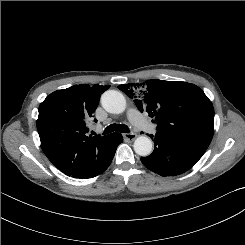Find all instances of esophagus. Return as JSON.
Returning <instances> with one entry per match:
<instances>
[{
	"label": "esophagus",
	"instance_id": "34e87169",
	"mask_svg": "<svg viewBox=\"0 0 245 245\" xmlns=\"http://www.w3.org/2000/svg\"><path fill=\"white\" fill-rule=\"evenodd\" d=\"M123 136L125 139L131 140V141L135 140V138L137 137L135 133H125Z\"/></svg>",
	"mask_w": 245,
	"mask_h": 245
}]
</instances>
